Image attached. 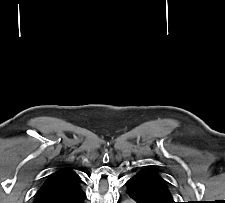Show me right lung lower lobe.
<instances>
[{
  "mask_svg": "<svg viewBox=\"0 0 225 203\" xmlns=\"http://www.w3.org/2000/svg\"><path fill=\"white\" fill-rule=\"evenodd\" d=\"M85 199H86V194H85V192H82L81 194H79L77 197H75L73 199H58V200L52 201V202L42 201V203H84ZM36 203H41V202H36Z\"/></svg>",
  "mask_w": 225,
  "mask_h": 203,
  "instance_id": "98d812e1",
  "label": "right lung lower lobe"
}]
</instances>
